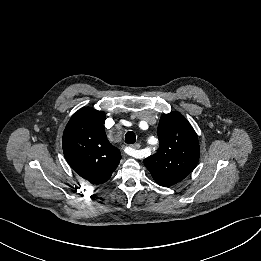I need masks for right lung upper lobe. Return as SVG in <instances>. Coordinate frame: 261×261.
<instances>
[{"label": "right lung upper lobe", "mask_w": 261, "mask_h": 261, "mask_svg": "<svg viewBox=\"0 0 261 261\" xmlns=\"http://www.w3.org/2000/svg\"><path fill=\"white\" fill-rule=\"evenodd\" d=\"M105 113L90 107L78 110L63 134L65 159L71 168L91 184L106 182L121 159L119 149L107 139Z\"/></svg>", "instance_id": "cb5924a9"}]
</instances>
